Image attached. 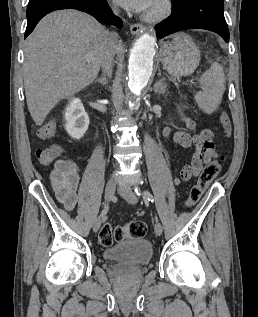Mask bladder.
I'll return each mask as SVG.
<instances>
[{"mask_svg": "<svg viewBox=\"0 0 258 317\" xmlns=\"http://www.w3.org/2000/svg\"><path fill=\"white\" fill-rule=\"evenodd\" d=\"M103 257L108 261L144 265L152 257V247L145 239H132L106 248L103 252Z\"/></svg>", "mask_w": 258, "mask_h": 317, "instance_id": "obj_1", "label": "bladder"}]
</instances>
